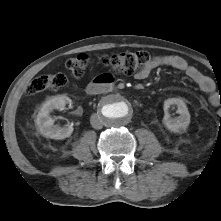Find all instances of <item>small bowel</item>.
I'll return each instance as SVG.
<instances>
[{
    "mask_svg": "<svg viewBox=\"0 0 221 221\" xmlns=\"http://www.w3.org/2000/svg\"><path fill=\"white\" fill-rule=\"evenodd\" d=\"M159 66H166L183 72L188 78L194 81L204 93L208 95L209 102L213 106H218L221 104V98L215 91V85L212 79L204 75L196 67L188 64L185 59L179 56L164 55L154 57L139 72L136 73L135 77L139 80L146 79L151 72Z\"/></svg>",
    "mask_w": 221,
    "mask_h": 221,
    "instance_id": "1",
    "label": "small bowel"
}]
</instances>
